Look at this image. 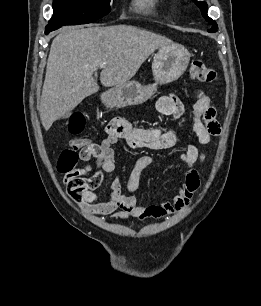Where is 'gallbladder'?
I'll return each instance as SVG.
<instances>
[{
	"mask_svg": "<svg viewBox=\"0 0 261 306\" xmlns=\"http://www.w3.org/2000/svg\"><path fill=\"white\" fill-rule=\"evenodd\" d=\"M67 116H68V113H67V114H65V115H63L62 117H63V118H66Z\"/></svg>",
	"mask_w": 261,
	"mask_h": 306,
	"instance_id": "bac80fb5",
	"label": "gallbladder"
}]
</instances>
